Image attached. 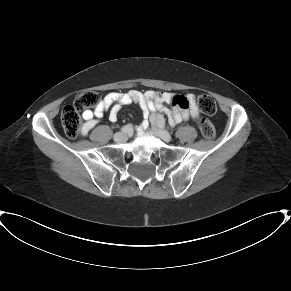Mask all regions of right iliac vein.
<instances>
[{
    "label": "right iliac vein",
    "mask_w": 291,
    "mask_h": 291,
    "mask_svg": "<svg viewBox=\"0 0 291 291\" xmlns=\"http://www.w3.org/2000/svg\"><path fill=\"white\" fill-rule=\"evenodd\" d=\"M116 142H124L127 139V134L123 132L116 133L113 137Z\"/></svg>",
    "instance_id": "obj_1"
}]
</instances>
